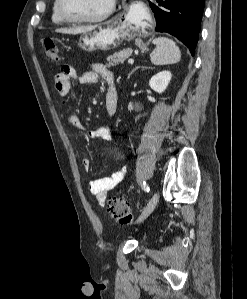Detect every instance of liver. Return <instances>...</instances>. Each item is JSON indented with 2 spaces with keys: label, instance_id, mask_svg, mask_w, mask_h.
<instances>
[{
  "label": "liver",
  "instance_id": "6515ba94",
  "mask_svg": "<svg viewBox=\"0 0 247 299\" xmlns=\"http://www.w3.org/2000/svg\"><path fill=\"white\" fill-rule=\"evenodd\" d=\"M95 28H96V25H89V26H78V27H72V28H59V29H56L55 31L58 33H63V34L77 35V34H81V33L91 32Z\"/></svg>",
  "mask_w": 247,
  "mask_h": 299
}]
</instances>
